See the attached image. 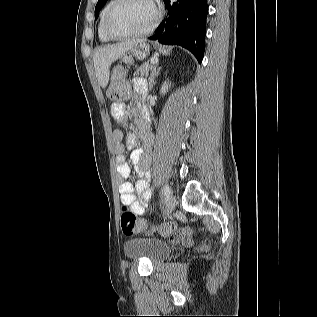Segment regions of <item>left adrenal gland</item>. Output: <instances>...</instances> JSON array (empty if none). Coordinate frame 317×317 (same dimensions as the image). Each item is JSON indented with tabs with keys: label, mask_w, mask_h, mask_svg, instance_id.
Returning a JSON list of instances; mask_svg holds the SVG:
<instances>
[{
	"label": "left adrenal gland",
	"mask_w": 317,
	"mask_h": 317,
	"mask_svg": "<svg viewBox=\"0 0 317 317\" xmlns=\"http://www.w3.org/2000/svg\"><path fill=\"white\" fill-rule=\"evenodd\" d=\"M160 69H161V67H159V68L157 69V65H156V66L153 68V70H152V73H151L150 78H149V90H150V91H151L152 88H153L154 79H155L156 76H158Z\"/></svg>",
	"instance_id": "1"
}]
</instances>
